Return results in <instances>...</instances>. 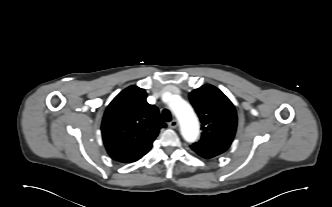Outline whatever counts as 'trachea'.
Here are the masks:
<instances>
[{
  "instance_id": "trachea-1",
  "label": "trachea",
  "mask_w": 332,
  "mask_h": 207,
  "mask_svg": "<svg viewBox=\"0 0 332 207\" xmlns=\"http://www.w3.org/2000/svg\"><path fill=\"white\" fill-rule=\"evenodd\" d=\"M162 115H163V119L167 122L171 121L172 120V117H171V113L168 109H164L162 111Z\"/></svg>"
}]
</instances>
